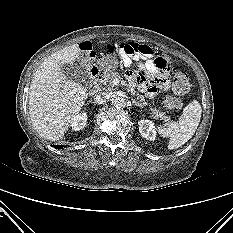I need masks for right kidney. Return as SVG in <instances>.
Listing matches in <instances>:
<instances>
[{"instance_id":"1","label":"right kidney","mask_w":233,"mask_h":233,"mask_svg":"<svg viewBox=\"0 0 233 233\" xmlns=\"http://www.w3.org/2000/svg\"><path fill=\"white\" fill-rule=\"evenodd\" d=\"M87 121V114L85 112L76 115L72 122V129L75 131L81 130L85 127Z\"/></svg>"}]
</instances>
